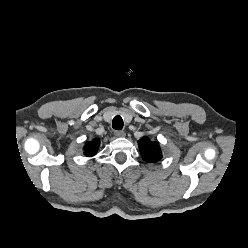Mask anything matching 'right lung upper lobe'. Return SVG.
Wrapping results in <instances>:
<instances>
[{
  "mask_svg": "<svg viewBox=\"0 0 248 248\" xmlns=\"http://www.w3.org/2000/svg\"><path fill=\"white\" fill-rule=\"evenodd\" d=\"M99 144L100 140L97 138L90 142H87L84 146V154L88 157L94 156L97 153Z\"/></svg>",
  "mask_w": 248,
  "mask_h": 248,
  "instance_id": "cb5924a9",
  "label": "right lung upper lobe"
}]
</instances>
